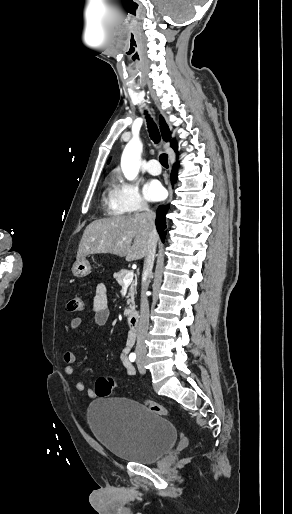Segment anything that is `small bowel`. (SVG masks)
Listing matches in <instances>:
<instances>
[{
  "instance_id": "small-bowel-1",
  "label": "small bowel",
  "mask_w": 292,
  "mask_h": 514,
  "mask_svg": "<svg viewBox=\"0 0 292 514\" xmlns=\"http://www.w3.org/2000/svg\"><path fill=\"white\" fill-rule=\"evenodd\" d=\"M89 313L93 315L94 323L97 326H103L109 320L111 311L108 304L107 286L104 283H99L96 285L95 294L92 300V304L89 308ZM82 323L83 319L81 317H74L70 321V328L72 330H78ZM63 360L66 363V367L64 369L65 374L68 376H73L75 374L73 364L77 360L75 352L73 350H65L63 353ZM121 362L126 370V373L129 376H133L135 374V369L129 361L126 352L121 354ZM75 389L79 392L87 391V394L90 397L95 396L94 390L91 388L86 389V385L82 380L75 381Z\"/></svg>"
}]
</instances>
